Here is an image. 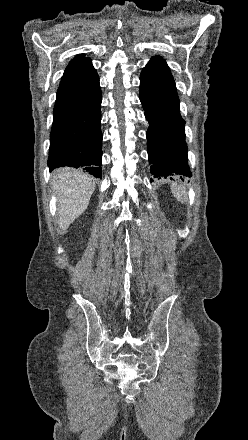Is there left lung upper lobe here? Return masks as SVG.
I'll return each instance as SVG.
<instances>
[{
	"label": "left lung upper lobe",
	"mask_w": 248,
	"mask_h": 440,
	"mask_svg": "<svg viewBox=\"0 0 248 440\" xmlns=\"http://www.w3.org/2000/svg\"><path fill=\"white\" fill-rule=\"evenodd\" d=\"M141 76L148 81L169 85L176 89L175 82L165 60L159 56L152 57L143 68Z\"/></svg>",
	"instance_id": "5c2ea615"
}]
</instances>
